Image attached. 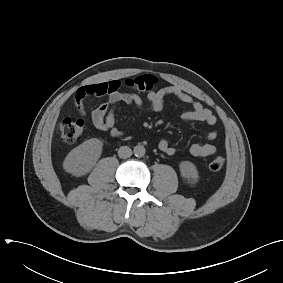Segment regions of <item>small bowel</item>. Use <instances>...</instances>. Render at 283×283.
<instances>
[{
    "instance_id": "obj_1",
    "label": "small bowel",
    "mask_w": 283,
    "mask_h": 283,
    "mask_svg": "<svg viewBox=\"0 0 283 283\" xmlns=\"http://www.w3.org/2000/svg\"><path fill=\"white\" fill-rule=\"evenodd\" d=\"M121 82L111 80L80 87L75 93V107L81 116L85 115L84 99L88 96H107V101L100 104L91 113V121L94 127L102 132H109L113 137L122 136V131L115 126V111L119 104L133 106L137 110H147L160 113L164 109V100L168 96L178 98L189 108L182 112L181 117L187 122H203L209 126L216 124V116L211 110L195 101L188 93L177 86H166L147 95L148 105L145 107L142 98L136 93L120 91ZM217 138L216 130H210L206 134V142L194 143L190 147V153L196 157H207L216 153V146L212 142ZM159 149L168 156L176 153L167 140L161 139Z\"/></svg>"
}]
</instances>
